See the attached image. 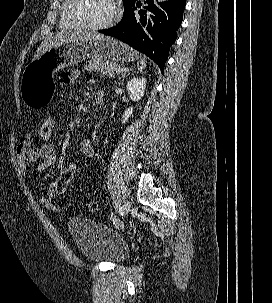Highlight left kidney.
Masks as SVG:
<instances>
[{"mask_svg":"<svg viewBox=\"0 0 272 303\" xmlns=\"http://www.w3.org/2000/svg\"><path fill=\"white\" fill-rule=\"evenodd\" d=\"M145 87L146 78L144 77H134L130 79L126 85L127 92L134 102H138L142 99V97L144 96ZM133 110V107H129L125 110L123 114V123H126V121L130 118L133 113Z\"/></svg>","mask_w":272,"mask_h":303,"instance_id":"5707ae66","label":"left kidney"}]
</instances>
